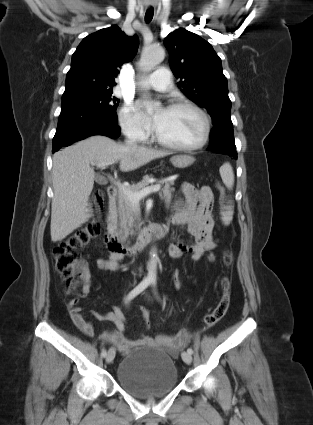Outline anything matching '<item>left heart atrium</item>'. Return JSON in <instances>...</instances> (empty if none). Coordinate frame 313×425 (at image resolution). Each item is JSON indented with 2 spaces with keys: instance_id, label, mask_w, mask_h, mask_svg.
I'll return each mask as SVG.
<instances>
[{
  "instance_id": "obj_1",
  "label": "left heart atrium",
  "mask_w": 313,
  "mask_h": 425,
  "mask_svg": "<svg viewBox=\"0 0 313 425\" xmlns=\"http://www.w3.org/2000/svg\"><path fill=\"white\" fill-rule=\"evenodd\" d=\"M164 113H165V110H161L149 118L154 129L157 130L158 127L160 126L164 117Z\"/></svg>"
}]
</instances>
